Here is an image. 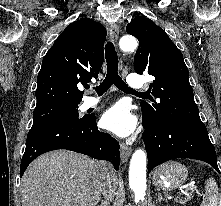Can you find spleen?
<instances>
[{
    "label": "spleen",
    "mask_w": 221,
    "mask_h": 206,
    "mask_svg": "<svg viewBox=\"0 0 221 206\" xmlns=\"http://www.w3.org/2000/svg\"><path fill=\"white\" fill-rule=\"evenodd\" d=\"M201 206H221L218 185L213 178H209L206 181L205 199L201 203Z\"/></svg>",
    "instance_id": "obj_1"
}]
</instances>
